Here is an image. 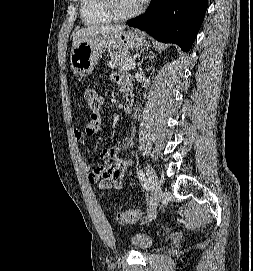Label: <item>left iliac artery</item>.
Masks as SVG:
<instances>
[{"label":"left iliac artery","mask_w":253,"mask_h":271,"mask_svg":"<svg viewBox=\"0 0 253 271\" xmlns=\"http://www.w3.org/2000/svg\"><path fill=\"white\" fill-rule=\"evenodd\" d=\"M137 173H138V178H139V180H140L142 186H143L146 190H149V187H148V181H147V179H146V177H145V174H144L143 170H142V169H139Z\"/></svg>","instance_id":"44dca946"}]
</instances>
